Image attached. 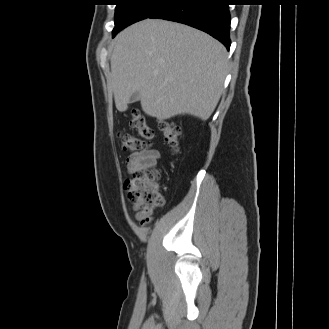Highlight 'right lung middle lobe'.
<instances>
[{
	"label": "right lung middle lobe",
	"instance_id": "obj_1",
	"mask_svg": "<svg viewBox=\"0 0 329 329\" xmlns=\"http://www.w3.org/2000/svg\"><path fill=\"white\" fill-rule=\"evenodd\" d=\"M115 27L113 37L125 27L149 18L173 0H115Z\"/></svg>",
	"mask_w": 329,
	"mask_h": 329
}]
</instances>
